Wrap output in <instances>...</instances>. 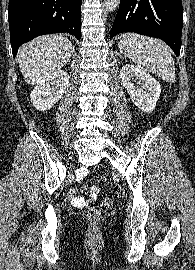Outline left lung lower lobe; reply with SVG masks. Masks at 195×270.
<instances>
[{
	"mask_svg": "<svg viewBox=\"0 0 195 270\" xmlns=\"http://www.w3.org/2000/svg\"><path fill=\"white\" fill-rule=\"evenodd\" d=\"M182 26L181 0H120L110 38L123 32L159 38L179 56Z\"/></svg>",
	"mask_w": 195,
	"mask_h": 270,
	"instance_id": "obj_1",
	"label": "left lung lower lobe"
}]
</instances>
